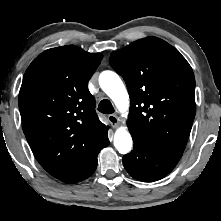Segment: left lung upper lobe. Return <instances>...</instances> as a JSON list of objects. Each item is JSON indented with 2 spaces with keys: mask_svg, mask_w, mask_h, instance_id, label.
Segmentation results:
<instances>
[{
  "mask_svg": "<svg viewBox=\"0 0 221 221\" xmlns=\"http://www.w3.org/2000/svg\"><path fill=\"white\" fill-rule=\"evenodd\" d=\"M109 63L129 91V130L153 146L183 152L196 112L186 59L167 42L147 37L112 52Z\"/></svg>",
  "mask_w": 221,
  "mask_h": 221,
  "instance_id": "1",
  "label": "left lung upper lobe"
}]
</instances>
